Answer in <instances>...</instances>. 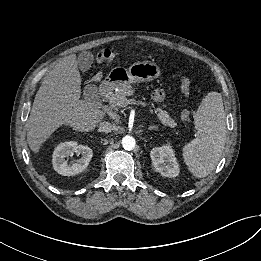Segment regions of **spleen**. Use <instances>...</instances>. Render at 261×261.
Wrapping results in <instances>:
<instances>
[{
  "instance_id": "3e777b00",
  "label": "spleen",
  "mask_w": 261,
  "mask_h": 261,
  "mask_svg": "<svg viewBox=\"0 0 261 261\" xmlns=\"http://www.w3.org/2000/svg\"><path fill=\"white\" fill-rule=\"evenodd\" d=\"M197 138L183 148V158L197 178L208 176L217 165L226 141V122L222 97L208 93L194 115Z\"/></svg>"
}]
</instances>
